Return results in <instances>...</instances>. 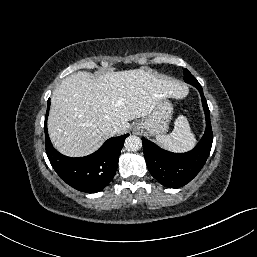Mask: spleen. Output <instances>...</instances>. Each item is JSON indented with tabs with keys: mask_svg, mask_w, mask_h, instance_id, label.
<instances>
[{
	"mask_svg": "<svg viewBox=\"0 0 257 257\" xmlns=\"http://www.w3.org/2000/svg\"><path fill=\"white\" fill-rule=\"evenodd\" d=\"M156 140L163 148L173 152L188 151L196 144L195 135L191 131L187 118L183 115L176 119L172 133L157 136Z\"/></svg>",
	"mask_w": 257,
	"mask_h": 257,
	"instance_id": "obj_1",
	"label": "spleen"
}]
</instances>
